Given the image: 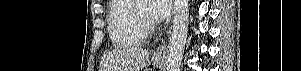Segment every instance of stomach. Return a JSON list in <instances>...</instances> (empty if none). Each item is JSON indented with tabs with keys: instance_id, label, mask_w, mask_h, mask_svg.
I'll return each mask as SVG.
<instances>
[{
	"instance_id": "obj_1",
	"label": "stomach",
	"mask_w": 301,
	"mask_h": 71,
	"mask_svg": "<svg viewBox=\"0 0 301 71\" xmlns=\"http://www.w3.org/2000/svg\"><path fill=\"white\" fill-rule=\"evenodd\" d=\"M152 62L155 66H160L163 63V60L153 59Z\"/></svg>"
}]
</instances>
